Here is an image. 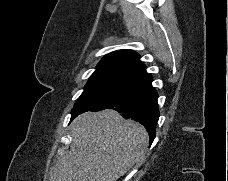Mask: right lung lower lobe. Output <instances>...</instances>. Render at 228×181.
<instances>
[{
  "mask_svg": "<svg viewBox=\"0 0 228 181\" xmlns=\"http://www.w3.org/2000/svg\"><path fill=\"white\" fill-rule=\"evenodd\" d=\"M151 82V75L145 73L130 81V83L110 101L88 111L114 109L121 112L123 117L127 119L131 118L144 125L149 133L151 144L155 138L156 125L159 117L157 104L158 95L152 87Z\"/></svg>",
  "mask_w": 228,
  "mask_h": 181,
  "instance_id": "1",
  "label": "right lung lower lobe"
}]
</instances>
